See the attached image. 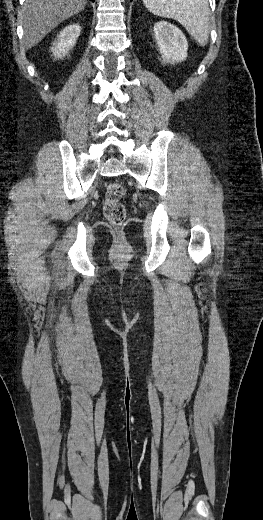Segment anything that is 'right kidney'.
Returning a JSON list of instances; mask_svg holds the SVG:
<instances>
[{
    "instance_id": "right-kidney-1",
    "label": "right kidney",
    "mask_w": 263,
    "mask_h": 520,
    "mask_svg": "<svg viewBox=\"0 0 263 520\" xmlns=\"http://www.w3.org/2000/svg\"><path fill=\"white\" fill-rule=\"evenodd\" d=\"M81 27L78 23L66 26L57 36V42L53 44L51 51L55 58L62 59L73 48L76 40L80 36Z\"/></svg>"
}]
</instances>
